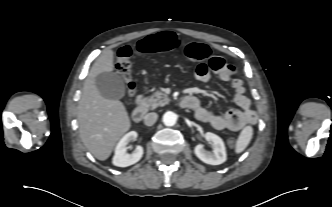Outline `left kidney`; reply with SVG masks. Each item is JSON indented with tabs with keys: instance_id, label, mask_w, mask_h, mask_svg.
Returning a JSON list of instances; mask_svg holds the SVG:
<instances>
[{
	"instance_id": "5707ae66",
	"label": "left kidney",
	"mask_w": 332,
	"mask_h": 207,
	"mask_svg": "<svg viewBox=\"0 0 332 207\" xmlns=\"http://www.w3.org/2000/svg\"><path fill=\"white\" fill-rule=\"evenodd\" d=\"M204 137L213 144V151L212 153L207 152L203 148V145L199 144L194 149L195 155L206 164L219 165L224 163L227 156L223 140L218 135L211 132H207Z\"/></svg>"
}]
</instances>
